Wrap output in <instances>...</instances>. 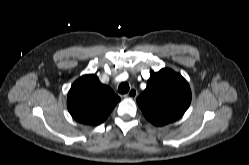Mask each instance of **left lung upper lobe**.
Returning <instances> with one entry per match:
<instances>
[{
	"instance_id": "5c2ea615",
	"label": "left lung upper lobe",
	"mask_w": 249,
	"mask_h": 165,
	"mask_svg": "<svg viewBox=\"0 0 249 165\" xmlns=\"http://www.w3.org/2000/svg\"><path fill=\"white\" fill-rule=\"evenodd\" d=\"M190 102L189 84L179 73L168 68L152 73L146 89L137 98L144 117L155 126L178 120Z\"/></svg>"
}]
</instances>
